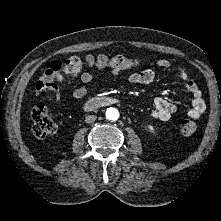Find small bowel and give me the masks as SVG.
I'll use <instances>...</instances> for the list:
<instances>
[{"instance_id": "c3829d8e", "label": "small bowel", "mask_w": 221, "mask_h": 221, "mask_svg": "<svg viewBox=\"0 0 221 221\" xmlns=\"http://www.w3.org/2000/svg\"><path fill=\"white\" fill-rule=\"evenodd\" d=\"M156 66L161 69H169L171 67V62L166 58H159L156 61ZM112 74H117L118 70H112ZM176 74L179 79H181L184 84L186 90L191 94V104L187 110V116L192 119L198 120L202 117L206 105L203 99L202 91L198 87V85L190 78L189 72L183 67L176 68ZM70 78H78L85 85L79 86L72 91V97L76 100H80L84 98L91 85L94 83V75L87 71H81L78 73L71 74ZM156 78L155 71L153 69H146L142 71H132L128 74V81L134 84L146 85L152 83ZM40 91L36 90V95L39 94ZM61 99L60 94L57 93L55 97H51L50 100L53 102H59ZM178 111L176 104L173 102L157 97L153 100V107L150 111L149 115L159 121H167L172 116H174Z\"/></svg>"}]
</instances>
